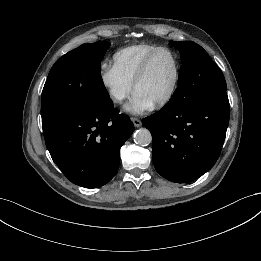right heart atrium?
<instances>
[{
	"label": "right heart atrium",
	"instance_id": "1",
	"mask_svg": "<svg viewBox=\"0 0 261 261\" xmlns=\"http://www.w3.org/2000/svg\"><path fill=\"white\" fill-rule=\"evenodd\" d=\"M99 80L115 104H121L132 91V83L122 77L112 66L103 65L101 67Z\"/></svg>",
	"mask_w": 261,
	"mask_h": 261
}]
</instances>
